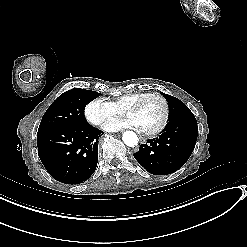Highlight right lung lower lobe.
<instances>
[{
    "label": "right lung lower lobe",
    "instance_id": "1",
    "mask_svg": "<svg viewBox=\"0 0 247 247\" xmlns=\"http://www.w3.org/2000/svg\"><path fill=\"white\" fill-rule=\"evenodd\" d=\"M100 134L99 129L89 124L39 131L40 160L55 180L65 184L83 183L95 172Z\"/></svg>",
    "mask_w": 247,
    "mask_h": 247
}]
</instances>
